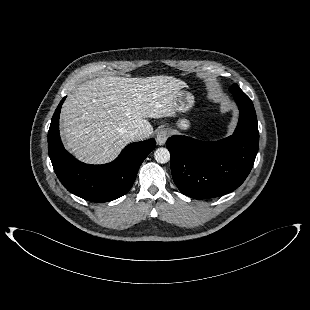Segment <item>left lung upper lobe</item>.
<instances>
[{
	"mask_svg": "<svg viewBox=\"0 0 310 310\" xmlns=\"http://www.w3.org/2000/svg\"><path fill=\"white\" fill-rule=\"evenodd\" d=\"M230 92L232 94H235L237 92H242V90L239 88V86L237 84H233L231 87H230Z\"/></svg>",
	"mask_w": 310,
	"mask_h": 310,
	"instance_id": "obj_1",
	"label": "left lung upper lobe"
}]
</instances>
